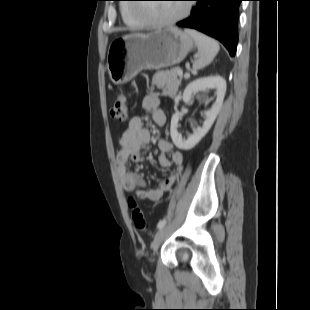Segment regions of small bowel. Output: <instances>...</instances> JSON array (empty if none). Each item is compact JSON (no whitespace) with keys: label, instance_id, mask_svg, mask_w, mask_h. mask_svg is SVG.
<instances>
[{"label":"small bowel","instance_id":"small-bowel-1","mask_svg":"<svg viewBox=\"0 0 310 310\" xmlns=\"http://www.w3.org/2000/svg\"><path fill=\"white\" fill-rule=\"evenodd\" d=\"M142 107L151 113L156 125L164 126L166 124L167 115L160 107V100L157 97L146 96L142 101ZM150 139V130L144 125L142 118L139 116L132 117L119 139V147L115 153L116 168L121 186L125 191L135 193L141 200L158 201L181 177L183 155L174 149L171 142L164 139L160 140L158 142L159 164L164 169H171L174 166V171L158 187L149 188L140 174L128 170V162H140L142 160V151L148 146Z\"/></svg>","mask_w":310,"mask_h":310}]
</instances>
